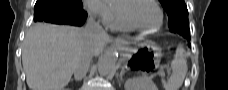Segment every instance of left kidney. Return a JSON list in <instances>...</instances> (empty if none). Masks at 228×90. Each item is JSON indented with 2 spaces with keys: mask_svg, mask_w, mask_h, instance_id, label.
<instances>
[{
  "mask_svg": "<svg viewBox=\"0 0 228 90\" xmlns=\"http://www.w3.org/2000/svg\"><path fill=\"white\" fill-rule=\"evenodd\" d=\"M124 87L125 90H158L153 81L147 77L130 78Z\"/></svg>",
  "mask_w": 228,
  "mask_h": 90,
  "instance_id": "left-kidney-1",
  "label": "left kidney"
}]
</instances>
